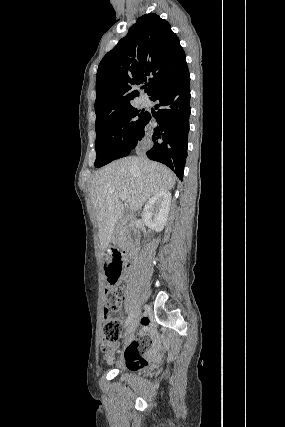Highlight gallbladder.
I'll list each match as a JSON object with an SVG mask.
<instances>
[{
  "instance_id": "bac80fb5",
  "label": "gallbladder",
  "mask_w": 285,
  "mask_h": 427,
  "mask_svg": "<svg viewBox=\"0 0 285 427\" xmlns=\"http://www.w3.org/2000/svg\"><path fill=\"white\" fill-rule=\"evenodd\" d=\"M126 214V212H125ZM114 245H118L119 244V240H118V234H115V239L113 241Z\"/></svg>"
}]
</instances>
